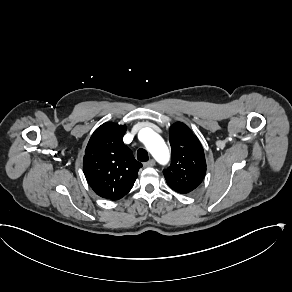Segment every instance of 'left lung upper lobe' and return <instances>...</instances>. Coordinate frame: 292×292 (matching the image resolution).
Instances as JSON below:
<instances>
[{
	"mask_svg": "<svg viewBox=\"0 0 292 292\" xmlns=\"http://www.w3.org/2000/svg\"><path fill=\"white\" fill-rule=\"evenodd\" d=\"M172 150L171 165L163 170L171 189L190 193L203 181L206 174V160L199 139L184 123L176 122L169 129Z\"/></svg>",
	"mask_w": 292,
	"mask_h": 292,
	"instance_id": "5c2ea615",
	"label": "left lung upper lobe"
}]
</instances>
